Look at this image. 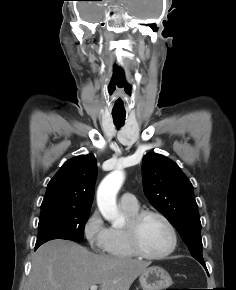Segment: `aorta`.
<instances>
[{"mask_svg": "<svg viewBox=\"0 0 236 290\" xmlns=\"http://www.w3.org/2000/svg\"><path fill=\"white\" fill-rule=\"evenodd\" d=\"M123 181V172L120 170L113 171L102 180L97 190L98 208L102 216L110 221L113 227H122L125 222L116 203V196Z\"/></svg>", "mask_w": 236, "mask_h": 290, "instance_id": "obj_1", "label": "aorta"}]
</instances>
